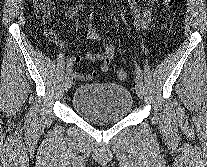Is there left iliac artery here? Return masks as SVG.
<instances>
[{
	"label": "left iliac artery",
	"mask_w": 207,
	"mask_h": 167,
	"mask_svg": "<svg viewBox=\"0 0 207 167\" xmlns=\"http://www.w3.org/2000/svg\"><path fill=\"white\" fill-rule=\"evenodd\" d=\"M135 70H136L137 75L140 78H142V71H141V69H140V67L138 65L135 66Z\"/></svg>",
	"instance_id": "44dca946"
}]
</instances>
